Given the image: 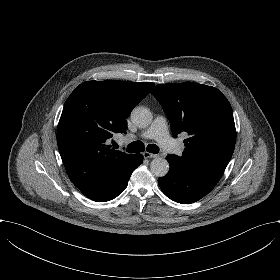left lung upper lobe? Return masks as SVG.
<instances>
[{
  "mask_svg": "<svg viewBox=\"0 0 280 280\" xmlns=\"http://www.w3.org/2000/svg\"><path fill=\"white\" fill-rule=\"evenodd\" d=\"M151 93L163 107L174 137L181 132L189 135L180 159L224 172L236 141L226 97L214 87L193 82L160 84Z\"/></svg>",
  "mask_w": 280,
  "mask_h": 280,
  "instance_id": "obj_1",
  "label": "left lung upper lobe"
}]
</instances>
